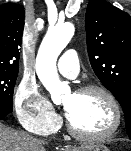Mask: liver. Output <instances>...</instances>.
Returning <instances> with one entry per match:
<instances>
[{"mask_svg": "<svg viewBox=\"0 0 131 151\" xmlns=\"http://www.w3.org/2000/svg\"><path fill=\"white\" fill-rule=\"evenodd\" d=\"M0 151H45V148L43 141L0 123Z\"/></svg>", "mask_w": 131, "mask_h": 151, "instance_id": "obj_1", "label": "liver"}]
</instances>
